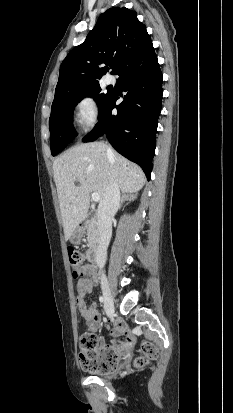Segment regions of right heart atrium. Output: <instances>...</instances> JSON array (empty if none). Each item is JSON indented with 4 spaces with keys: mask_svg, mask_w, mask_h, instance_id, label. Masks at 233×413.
Returning <instances> with one entry per match:
<instances>
[{
    "mask_svg": "<svg viewBox=\"0 0 233 413\" xmlns=\"http://www.w3.org/2000/svg\"><path fill=\"white\" fill-rule=\"evenodd\" d=\"M100 113L99 103L91 94L83 95L75 103V120L84 131H89L96 126Z\"/></svg>",
    "mask_w": 233,
    "mask_h": 413,
    "instance_id": "right-heart-atrium-1",
    "label": "right heart atrium"
}]
</instances>
